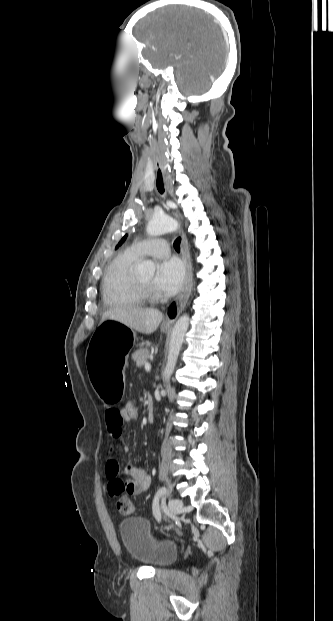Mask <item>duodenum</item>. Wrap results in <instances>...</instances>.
Masks as SVG:
<instances>
[{
    "mask_svg": "<svg viewBox=\"0 0 333 621\" xmlns=\"http://www.w3.org/2000/svg\"><path fill=\"white\" fill-rule=\"evenodd\" d=\"M147 418L149 421H153L154 419V408L151 402V399L148 398V413H147Z\"/></svg>",
    "mask_w": 333,
    "mask_h": 621,
    "instance_id": "410a0bca",
    "label": "duodenum"
}]
</instances>
